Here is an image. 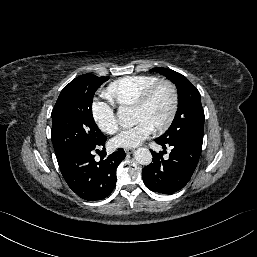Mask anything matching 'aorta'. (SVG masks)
Segmentation results:
<instances>
[{"instance_id":"1","label":"aorta","mask_w":257,"mask_h":257,"mask_svg":"<svg viewBox=\"0 0 257 257\" xmlns=\"http://www.w3.org/2000/svg\"><path fill=\"white\" fill-rule=\"evenodd\" d=\"M118 121L123 126L131 125L130 110L127 108H120L117 112ZM134 158L137 163L141 165H149L152 161V154L146 148H138L134 152Z\"/></svg>"}]
</instances>
